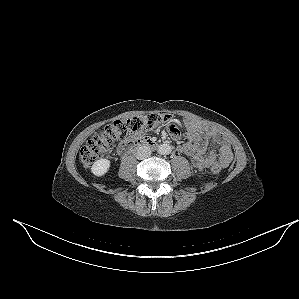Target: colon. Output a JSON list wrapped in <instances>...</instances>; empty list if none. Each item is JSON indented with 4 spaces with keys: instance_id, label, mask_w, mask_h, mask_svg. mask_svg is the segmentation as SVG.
Here are the masks:
<instances>
[{
    "instance_id": "colon-1",
    "label": "colon",
    "mask_w": 299,
    "mask_h": 299,
    "mask_svg": "<svg viewBox=\"0 0 299 299\" xmlns=\"http://www.w3.org/2000/svg\"><path fill=\"white\" fill-rule=\"evenodd\" d=\"M165 125L172 134H178L179 128L176 121L165 114H149L145 116L132 117L124 121H115L106 126L101 132L90 139L80 151V161L86 168L92 166L101 158L110 147L117 141H122L128 137ZM184 139L192 146H198L202 142V137L194 129H187L184 132ZM222 170V166L216 163L211 166L210 172L217 174Z\"/></svg>"
}]
</instances>
